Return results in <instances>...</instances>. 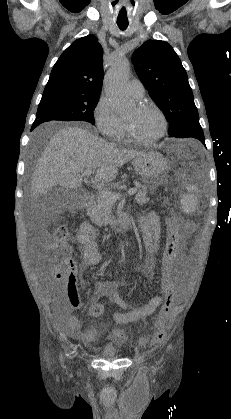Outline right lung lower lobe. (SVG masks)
<instances>
[{
	"label": "right lung lower lobe",
	"mask_w": 231,
	"mask_h": 419,
	"mask_svg": "<svg viewBox=\"0 0 231 419\" xmlns=\"http://www.w3.org/2000/svg\"><path fill=\"white\" fill-rule=\"evenodd\" d=\"M36 126H37V125H34V124H33V125H32V128H31V130H33V129H34V128H35Z\"/></svg>",
	"instance_id": "right-lung-lower-lobe-1"
}]
</instances>
